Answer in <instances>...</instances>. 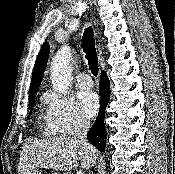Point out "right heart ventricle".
Masks as SVG:
<instances>
[{"label": "right heart ventricle", "instance_id": "1", "mask_svg": "<svg viewBox=\"0 0 175 174\" xmlns=\"http://www.w3.org/2000/svg\"><path fill=\"white\" fill-rule=\"evenodd\" d=\"M45 130H46L48 133H50V134H52V135H55V134H54V133H52V132H51V130L49 129L48 124L46 125Z\"/></svg>", "mask_w": 175, "mask_h": 174}]
</instances>
